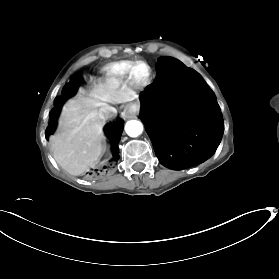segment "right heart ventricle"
<instances>
[{"instance_id": "e07e8e85", "label": "right heart ventricle", "mask_w": 279, "mask_h": 279, "mask_svg": "<svg viewBox=\"0 0 279 279\" xmlns=\"http://www.w3.org/2000/svg\"><path fill=\"white\" fill-rule=\"evenodd\" d=\"M131 61H118L105 67L106 74L111 78H124L127 76Z\"/></svg>"}]
</instances>
